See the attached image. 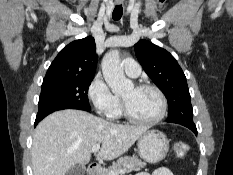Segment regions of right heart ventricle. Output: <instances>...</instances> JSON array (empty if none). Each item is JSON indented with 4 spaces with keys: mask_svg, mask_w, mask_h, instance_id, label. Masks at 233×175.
I'll list each match as a JSON object with an SVG mask.
<instances>
[{
    "mask_svg": "<svg viewBox=\"0 0 233 175\" xmlns=\"http://www.w3.org/2000/svg\"><path fill=\"white\" fill-rule=\"evenodd\" d=\"M122 114V111H121V102L120 100L118 99V103L115 107V109L112 111V113L109 115L110 118H119Z\"/></svg>",
    "mask_w": 233,
    "mask_h": 175,
    "instance_id": "1",
    "label": "right heart ventricle"
}]
</instances>
